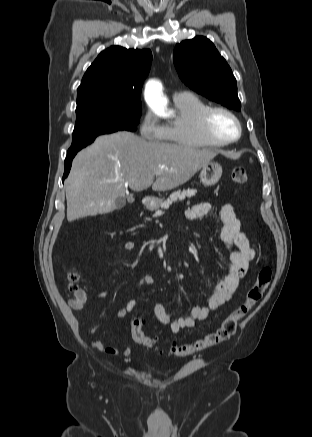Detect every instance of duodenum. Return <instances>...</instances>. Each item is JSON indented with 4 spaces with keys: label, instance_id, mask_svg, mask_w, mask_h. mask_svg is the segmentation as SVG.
I'll list each match as a JSON object with an SVG mask.
<instances>
[{
    "label": "duodenum",
    "instance_id": "1",
    "mask_svg": "<svg viewBox=\"0 0 312 437\" xmlns=\"http://www.w3.org/2000/svg\"><path fill=\"white\" fill-rule=\"evenodd\" d=\"M143 203L147 208H151L155 204V198L151 196L146 197Z\"/></svg>",
    "mask_w": 312,
    "mask_h": 437
}]
</instances>
